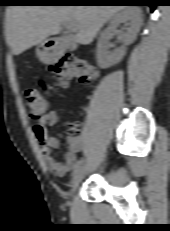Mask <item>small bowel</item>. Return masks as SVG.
Returning <instances> with one entry per match:
<instances>
[{
    "instance_id": "obj_1",
    "label": "small bowel",
    "mask_w": 170,
    "mask_h": 231,
    "mask_svg": "<svg viewBox=\"0 0 170 231\" xmlns=\"http://www.w3.org/2000/svg\"><path fill=\"white\" fill-rule=\"evenodd\" d=\"M39 85L42 89H46V85L43 80L39 81ZM60 120V115L55 111H48L41 117L37 124L33 127L34 134L41 145V154L45 165L55 172L58 176L63 177L68 174L76 164V154L81 152L84 148V140L79 137L69 145L68 151L65 153L64 161H57L52 151L59 147V140L49 135L47 126H54Z\"/></svg>"
}]
</instances>
